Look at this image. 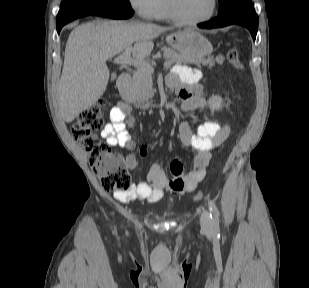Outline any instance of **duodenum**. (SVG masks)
Returning a JSON list of instances; mask_svg holds the SVG:
<instances>
[{
  "mask_svg": "<svg viewBox=\"0 0 309 288\" xmlns=\"http://www.w3.org/2000/svg\"><path fill=\"white\" fill-rule=\"evenodd\" d=\"M130 83V75L128 73H121L117 78V88L119 94L124 102L129 103L131 101V95L129 93V86Z\"/></svg>",
  "mask_w": 309,
  "mask_h": 288,
  "instance_id": "obj_1",
  "label": "duodenum"
}]
</instances>
